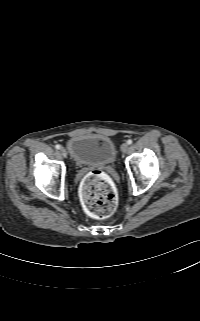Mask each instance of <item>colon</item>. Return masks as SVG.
I'll return each instance as SVG.
<instances>
[{
	"instance_id": "5ec220e1",
	"label": "colon",
	"mask_w": 200,
	"mask_h": 321,
	"mask_svg": "<svg viewBox=\"0 0 200 321\" xmlns=\"http://www.w3.org/2000/svg\"><path fill=\"white\" fill-rule=\"evenodd\" d=\"M81 199L85 210L94 218L111 216L117 207V195L109 178L102 171H92L81 184Z\"/></svg>"
}]
</instances>
